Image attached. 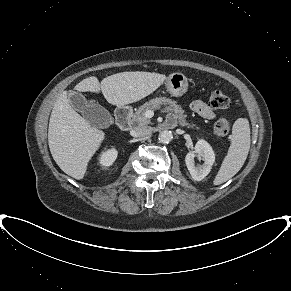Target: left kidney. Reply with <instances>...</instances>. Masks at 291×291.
<instances>
[{
	"label": "left kidney",
	"instance_id": "5707ae66",
	"mask_svg": "<svg viewBox=\"0 0 291 291\" xmlns=\"http://www.w3.org/2000/svg\"><path fill=\"white\" fill-rule=\"evenodd\" d=\"M198 155L203 161V165H195L194 158ZM186 166L192 176L196 181H201L204 179L210 172L212 165L215 162V154L210 146V144L200 139L193 151H190L185 157Z\"/></svg>",
	"mask_w": 291,
	"mask_h": 291
}]
</instances>
